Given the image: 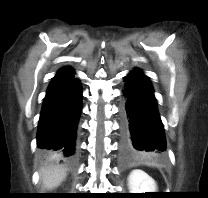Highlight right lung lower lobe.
<instances>
[{
    "label": "right lung lower lobe",
    "instance_id": "1",
    "mask_svg": "<svg viewBox=\"0 0 208 198\" xmlns=\"http://www.w3.org/2000/svg\"><path fill=\"white\" fill-rule=\"evenodd\" d=\"M81 97L74 71L69 67L59 70L47 89L40 114L37 146L43 153L59 159L73 157Z\"/></svg>",
    "mask_w": 208,
    "mask_h": 198
}]
</instances>
